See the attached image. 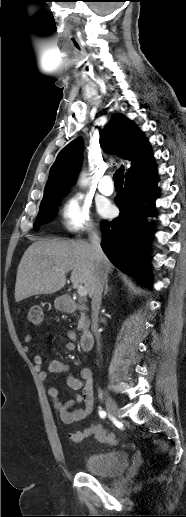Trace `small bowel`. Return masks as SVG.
<instances>
[{"instance_id": "c3829d8e", "label": "small bowel", "mask_w": 186, "mask_h": 517, "mask_svg": "<svg viewBox=\"0 0 186 517\" xmlns=\"http://www.w3.org/2000/svg\"><path fill=\"white\" fill-rule=\"evenodd\" d=\"M68 341L65 343V348L68 351L76 349V334L72 331L67 332ZM27 344L24 349L26 352L30 351L29 343L33 340L32 335L27 334L24 338ZM34 365L38 371L41 379L48 378L51 374H67L66 384L74 391L81 390V393H73L71 398L62 402L60 400V393L56 387L51 386L48 389L49 396L53 402V406L59 415L60 420L67 425L74 424L89 418L94 410V384L92 371L89 368H82L80 376L75 377L69 373V365L59 360L49 362L45 369L42 368L44 358L41 355L34 356ZM77 404H82V408L72 409ZM105 431L99 424L91 423L87 427L69 433L68 438L74 443H80L85 438L95 437L99 440V433Z\"/></svg>"}]
</instances>
